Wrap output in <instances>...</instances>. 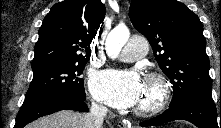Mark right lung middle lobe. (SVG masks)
<instances>
[{
    "label": "right lung middle lobe",
    "instance_id": "1",
    "mask_svg": "<svg viewBox=\"0 0 221 128\" xmlns=\"http://www.w3.org/2000/svg\"><path fill=\"white\" fill-rule=\"evenodd\" d=\"M87 61L88 59L34 72L25 100L56 91H67L86 98L84 81L79 76Z\"/></svg>",
    "mask_w": 221,
    "mask_h": 128
}]
</instances>
